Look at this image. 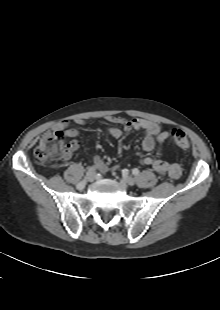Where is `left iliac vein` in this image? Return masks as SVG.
<instances>
[{
	"mask_svg": "<svg viewBox=\"0 0 220 310\" xmlns=\"http://www.w3.org/2000/svg\"><path fill=\"white\" fill-rule=\"evenodd\" d=\"M125 182H126L128 185L132 186V185L135 184L136 180H135V178H133V177H131V176H126V177H125Z\"/></svg>",
	"mask_w": 220,
	"mask_h": 310,
	"instance_id": "1",
	"label": "left iliac vein"
}]
</instances>
